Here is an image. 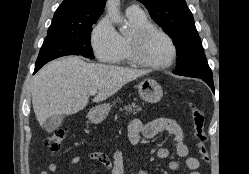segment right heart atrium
Instances as JSON below:
<instances>
[{"label":"right heart atrium","instance_id":"1","mask_svg":"<svg viewBox=\"0 0 249 174\" xmlns=\"http://www.w3.org/2000/svg\"><path fill=\"white\" fill-rule=\"evenodd\" d=\"M93 52L98 60L113 63L120 53V41L108 18H102L93 28L90 36Z\"/></svg>","mask_w":249,"mask_h":174}]
</instances>
